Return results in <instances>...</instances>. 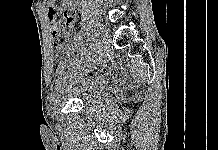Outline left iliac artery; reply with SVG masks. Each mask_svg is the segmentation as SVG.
<instances>
[{"label": "left iliac artery", "instance_id": "obj_1", "mask_svg": "<svg viewBox=\"0 0 218 150\" xmlns=\"http://www.w3.org/2000/svg\"><path fill=\"white\" fill-rule=\"evenodd\" d=\"M92 34L95 36L94 37V41H93V46H96V48H94L93 49V52H94V54L92 55L94 58L97 56L95 53H97L98 52V50H100V48H101V46L100 45H98L100 42H99V38H100V35H99V33L96 31V30H93L92 31ZM92 59L91 61H88L87 63H86V66L84 65L82 68L83 69H81L80 67L77 69L79 72L81 71V70H83L84 72L86 71V70H88L89 68H90V65L91 64H93L96 60L95 59Z\"/></svg>", "mask_w": 218, "mask_h": 150}]
</instances>
